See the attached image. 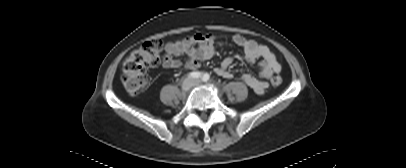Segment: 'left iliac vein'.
Returning <instances> with one entry per match:
<instances>
[{
    "mask_svg": "<svg viewBox=\"0 0 406 168\" xmlns=\"http://www.w3.org/2000/svg\"><path fill=\"white\" fill-rule=\"evenodd\" d=\"M194 84H195V85H199L200 82H199V81H195Z\"/></svg>",
    "mask_w": 406,
    "mask_h": 168,
    "instance_id": "1",
    "label": "left iliac vein"
}]
</instances>
